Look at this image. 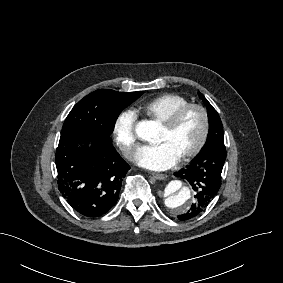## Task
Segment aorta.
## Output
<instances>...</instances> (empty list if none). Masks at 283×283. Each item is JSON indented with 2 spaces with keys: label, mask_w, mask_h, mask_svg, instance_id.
<instances>
[{
  "label": "aorta",
  "mask_w": 283,
  "mask_h": 283,
  "mask_svg": "<svg viewBox=\"0 0 283 283\" xmlns=\"http://www.w3.org/2000/svg\"><path fill=\"white\" fill-rule=\"evenodd\" d=\"M136 134L143 140L154 142L160 132V126L154 121H141L136 126ZM165 206L178 213H185L192 204V191L183 181H170L162 192Z\"/></svg>",
  "instance_id": "aorta-1"
}]
</instances>
